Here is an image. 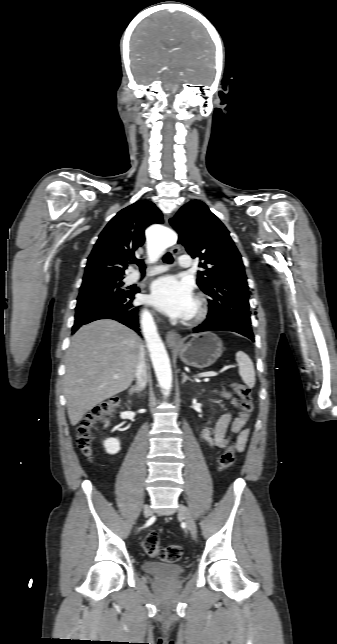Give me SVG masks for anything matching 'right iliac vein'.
<instances>
[{"label":"right iliac vein","instance_id":"1","mask_svg":"<svg viewBox=\"0 0 337 644\" xmlns=\"http://www.w3.org/2000/svg\"><path fill=\"white\" fill-rule=\"evenodd\" d=\"M144 514H145V516H150L151 515V509L149 507H146L144 509Z\"/></svg>","mask_w":337,"mask_h":644}]
</instances>
